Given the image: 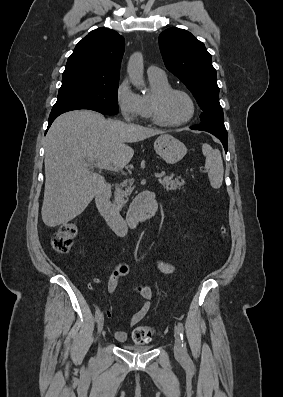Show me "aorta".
<instances>
[{
  "mask_svg": "<svg viewBox=\"0 0 283 397\" xmlns=\"http://www.w3.org/2000/svg\"><path fill=\"white\" fill-rule=\"evenodd\" d=\"M143 71V56L141 53H134L129 59L127 73L129 75L130 81L137 88H142L145 85Z\"/></svg>",
  "mask_w": 283,
  "mask_h": 397,
  "instance_id": "obj_1",
  "label": "aorta"
}]
</instances>
